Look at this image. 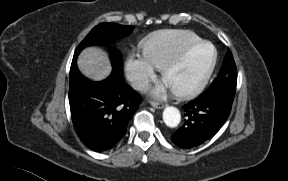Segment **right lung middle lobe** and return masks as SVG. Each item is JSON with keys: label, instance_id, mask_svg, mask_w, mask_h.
<instances>
[{"label": "right lung middle lobe", "instance_id": "1", "mask_svg": "<svg viewBox=\"0 0 288 181\" xmlns=\"http://www.w3.org/2000/svg\"><path fill=\"white\" fill-rule=\"evenodd\" d=\"M134 29L133 26H125L114 23H101L94 27L91 32L84 38V40L77 47L73 61L76 62L77 56L80 51L91 45L103 43L107 40L122 37L129 34ZM113 68L115 72L123 74L122 56L120 53H116L112 56Z\"/></svg>", "mask_w": 288, "mask_h": 181}]
</instances>
